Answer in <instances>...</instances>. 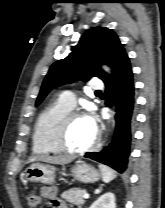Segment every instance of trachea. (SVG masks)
<instances>
[{"label": "trachea", "mask_w": 165, "mask_h": 208, "mask_svg": "<svg viewBox=\"0 0 165 208\" xmlns=\"http://www.w3.org/2000/svg\"><path fill=\"white\" fill-rule=\"evenodd\" d=\"M95 94L99 95V94H102V92L101 91H97V92H95Z\"/></svg>", "instance_id": "1"}]
</instances>
